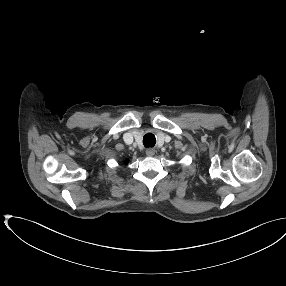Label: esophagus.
I'll use <instances>...</instances> for the list:
<instances>
[{
    "instance_id": "1",
    "label": "esophagus",
    "mask_w": 286,
    "mask_h": 286,
    "mask_svg": "<svg viewBox=\"0 0 286 286\" xmlns=\"http://www.w3.org/2000/svg\"><path fill=\"white\" fill-rule=\"evenodd\" d=\"M154 154H155V150H154L153 148H148V149L146 150V155H147V156L151 157V156H153Z\"/></svg>"
}]
</instances>
